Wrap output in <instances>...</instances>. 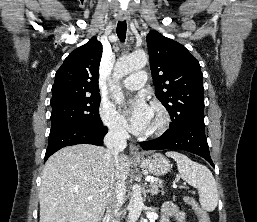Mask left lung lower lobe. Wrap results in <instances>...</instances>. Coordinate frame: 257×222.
<instances>
[{
  "instance_id": "left-lung-lower-lobe-1",
  "label": "left lung lower lobe",
  "mask_w": 257,
  "mask_h": 222,
  "mask_svg": "<svg viewBox=\"0 0 257 222\" xmlns=\"http://www.w3.org/2000/svg\"><path fill=\"white\" fill-rule=\"evenodd\" d=\"M140 146L143 150H185L205 158L214 167L205 136V124L202 122H189L170 127L159 138L140 142Z\"/></svg>"
}]
</instances>
